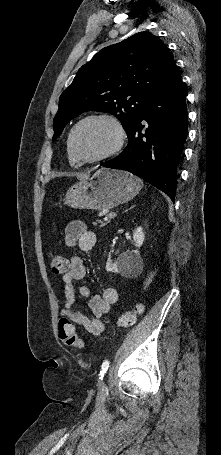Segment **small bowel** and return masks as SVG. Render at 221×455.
<instances>
[{
    "instance_id": "small-bowel-1",
    "label": "small bowel",
    "mask_w": 221,
    "mask_h": 455,
    "mask_svg": "<svg viewBox=\"0 0 221 455\" xmlns=\"http://www.w3.org/2000/svg\"><path fill=\"white\" fill-rule=\"evenodd\" d=\"M96 243V234L88 230L83 223L73 222L66 227L65 244L68 247L77 246L82 251H89ZM85 275L84 261L79 256H71L69 270L62 277L65 304L60 313L93 336H101L105 330L101 317L107 314L111 306L116 303L118 291L115 287L109 286L103 290L102 294L93 295L89 300L91 316H86L74 308L77 295L85 298L90 296V289L86 285L80 284Z\"/></svg>"
}]
</instances>
